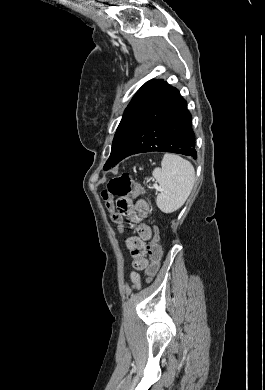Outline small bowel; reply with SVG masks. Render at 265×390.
<instances>
[{"mask_svg":"<svg viewBox=\"0 0 265 390\" xmlns=\"http://www.w3.org/2000/svg\"><path fill=\"white\" fill-rule=\"evenodd\" d=\"M116 209L126 217L129 222L136 225V236L129 237L126 245L132 255L133 271L130 274L131 280L135 286L140 284L138 271L143 270L148 265L146 258V242L152 238V229L150 226L143 224L142 220L148 213V204L144 200L136 203L128 197H119L116 201Z\"/></svg>","mask_w":265,"mask_h":390,"instance_id":"small-bowel-1","label":"small bowel"}]
</instances>
